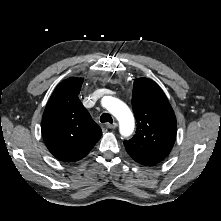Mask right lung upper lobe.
<instances>
[{"instance_id": "right-lung-upper-lobe-1", "label": "right lung upper lobe", "mask_w": 221, "mask_h": 221, "mask_svg": "<svg viewBox=\"0 0 221 221\" xmlns=\"http://www.w3.org/2000/svg\"><path fill=\"white\" fill-rule=\"evenodd\" d=\"M82 78H68L53 91L42 118V136L53 156L76 162L85 157L102 135L100 127L78 98Z\"/></svg>"}]
</instances>
